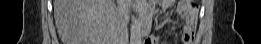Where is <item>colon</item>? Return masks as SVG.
<instances>
[{
    "label": "colon",
    "instance_id": "obj_1",
    "mask_svg": "<svg viewBox=\"0 0 261 44\" xmlns=\"http://www.w3.org/2000/svg\"><path fill=\"white\" fill-rule=\"evenodd\" d=\"M179 6H192L194 9H196V7L191 3V1H179L178 2Z\"/></svg>",
    "mask_w": 261,
    "mask_h": 44
}]
</instances>
